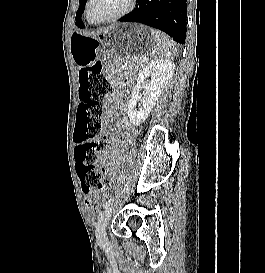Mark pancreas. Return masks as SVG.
<instances>
[{
    "mask_svg": "<svg viewBox=\"0 0 265 273\" xmlns=\"http://www.w3.org/2000/svg\"><path fill=\"white\" fill-rule=\"evenodd\" d=\"M135 62H136V64H137V65H142V64H144V63H145V61H144V58H143V57L137 58V59L135 60Z\"/></svg>",
    "mask_w": 265,
    "mask_h": 273,
    "instance_id": "pancreas-1",
    "label": "pancreas"
}]
</instances>
